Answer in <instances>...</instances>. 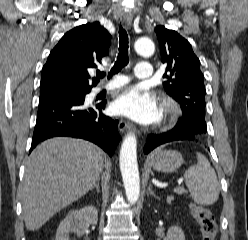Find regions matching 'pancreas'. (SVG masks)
Returning a JSON list of instances; mask_svg holds the SVG:
<instances>
[{
    "instance_id": "cf45deb5",
    "label": "pancreas",
    "mask_w": 248,
    "mask_h": 240,
    "mask_svg": "<svg viewBox=\"0 0 248 240\" xmlns=\"http://www.w3.org/2000/svg\"><path fill=\"white\" fill-rule=\"evenodd\" d=\"M172 200H173V197H172V196H168V197H167V202H168V203H170Z\"/></svg>"
}]
</instances>
